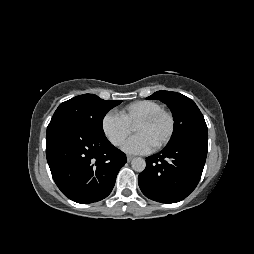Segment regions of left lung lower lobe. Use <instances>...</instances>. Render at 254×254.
I'll return each mask as SVG.
<instances>
[{
	"mask_svg": "<svg viewBox=\"0 0 254 254\" xmlns=\"http://www.w3.org/2000/svg\"><path fill=\"white\" fill-rule=\"evenodd\" d=\"M205 138H190L146 158V168L138 176L143 194L161 203H176L196 188L207 156Z\"/></svg>",
	"mask_w": 254,
	"mask_h": 254,
	"instance_id": "1",
	"label": "left lung lower lobe"
}]
</instances>
